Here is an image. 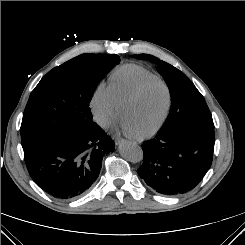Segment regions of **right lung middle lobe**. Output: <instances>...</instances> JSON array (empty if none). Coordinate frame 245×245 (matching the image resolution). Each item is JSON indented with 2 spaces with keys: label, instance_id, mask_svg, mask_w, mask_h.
<instances>
[{
  "label": "right lung middle lobe",
  "instance_id": "obj_1",
  "mask_svg": "<svg viewBox=\"0 0 245 245\" xmlns=\"http://www.w3.org/2000/svg\"><path fill=\"white\" fill-rule=\"evenodd\" d=\"M119 62L118 55L82 54L49 71L26 105L20 129L23 149L94 123L89 108L93 93Z\"/></svg>",
  "mask_w": 245,
  "mask_h": 245
}]
</instances>
